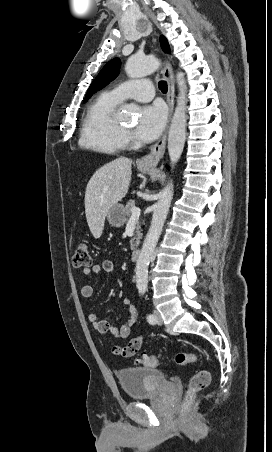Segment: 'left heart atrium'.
Returning a JSON list of instances; mask_svg holds the SVG:
<instances>
[{"label": "left heart atrium", "instance_id": "obj_1", "mask_svg": "<svg viewBox=\"0 0 272 452\" xmlns=\"http://www.w3.org/2000/svg\"><path fill=\"white\" fill-rule=\"evenodd\" d=\"M165 123V108L159 103L147 105L140 111L135 134L143 141H152L160 135Z\"/></svg>", "mask_w": 272, "mask_h": 452}]
</instances>
